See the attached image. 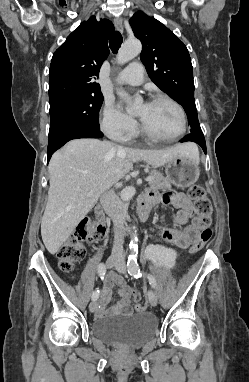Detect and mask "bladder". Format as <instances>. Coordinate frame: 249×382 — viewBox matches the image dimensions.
<instances>
[{"instance_id":"obj_1","label":"bladder","mask_w":249,"mask_h":382,"mask_svg":"<svg viewBox=\"0 0 249 382\" xmlns=\"http://www.w3.org/2000/svg\"><path fill=\"white\" fill-rule=\"evenodd\" d=\"M92 331L107 344L121 349H135L156 336L158 321L147 313L111 315L96 319Z\"/></svg>"}]
</instances>
